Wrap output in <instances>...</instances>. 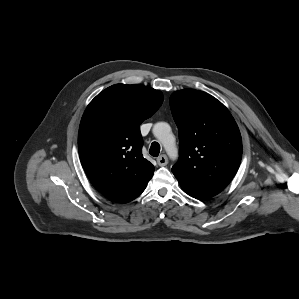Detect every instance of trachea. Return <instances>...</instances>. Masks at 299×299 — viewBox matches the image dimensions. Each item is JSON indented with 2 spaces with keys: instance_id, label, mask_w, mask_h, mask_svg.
<instances>
[{
  "instance_id": "obj_1",
  "label": "trachea",
  "mask_w": 299,
  "mask_h": 299,
  "mask_svg": "<svg viewBox=\"0 0 299 299\" xmlns=\"http://www.w3.org/2000/svg\"><path fill=\"white\" fill-rule=\"evenodd\" d=\"M149 153H150L152 156L157 157V156L159 155V153H160V145H159V143H157V142H153V143L151 144L150 149H149Z\"/></svg>"
}]
</instances>
